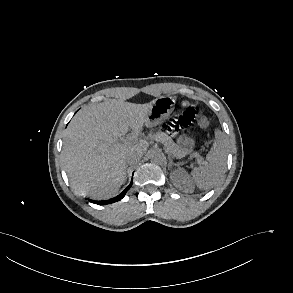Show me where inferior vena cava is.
<instances>
[{
  "instance_id": "1",
  "label": "inferior vena cava",
  "mask_w": 293,
  "mask_h": 293,
  "mask_svg": "<svg viewBox=\"0 0 293 293\" xmlns=\"http://www.w3.org/2000/svg\"><path fill=\"white\" fill-rule=\"evenodd\" d=\"M141 157H142V153L132 150L126 154L125 160L127 164L133 165L137 163Z\"/></svg>"
}]
</instances>
